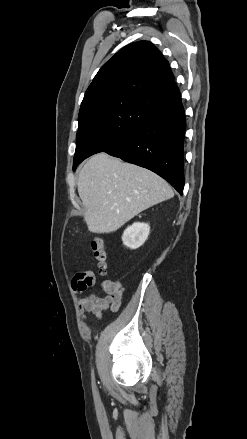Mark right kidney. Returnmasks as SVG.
Returning <instances> with one entry per match:
<instances>
[{"label": "right kidney", "mask_w": 247, "mask_h": 439, "mask_svg": "<svg viewBox=\"0 0 247 439\" xmlns=\"http://www.w3.org/2000/svg\"><path fill=\"white\" fill-rule=\"evenodd\" d=\"M149 232V224L134 223L124 231L122 236L123 244L130 249H137L147 240Z\"/></svg>", "instance_id": "1"}]
</instances>
